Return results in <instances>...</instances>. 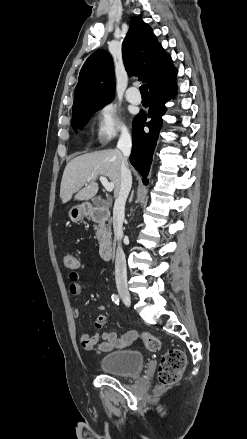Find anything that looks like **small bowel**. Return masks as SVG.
<instances>
[{"instance_id": "1", "label": "small bowel", "mask_w": 247, "mask_h": 439, "mask_svg": "<svg viewBox=\"0 0 247 439\" xmlns=\"http://www.w3.org/2000/svg\"><path fill=\"white\" fill-rule=\"evenodd\" d=\"M70 285L69 292L72 295H79L82 292L83 286L80 281V276L75 270L71 271L69 274ZM73 315L75 318L80 316V310L78 308H73ZM109 323V315L107 313L98 316L94 321V326L96 328H102ZM137 338L135 332H128L122 337H119L113 331H105L101 335L99 333H82L80 335L79 341L81 346L88 351L95 353H106L110 352L116 348H123L131 345ZM102 340L99 343V340Z\"/></svg>"}]
</instances>
